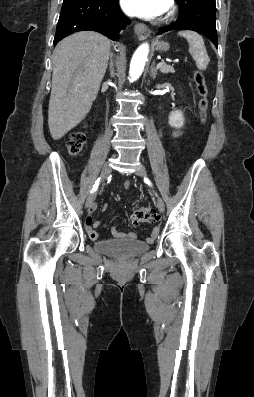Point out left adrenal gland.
Listing matches in <instances>:
<instances>
[{
    "label": "left adrenal gland",
    "mask_w": 254,
    "mask_h": 397,
    "mask_svg": "<svg viewBox=\"0 0 254 397\" xmlns=\"http://www.w3.org/2000/svg\"><path fill=\"white\" fill-rule=\"evenodd\" d=\"M156 75H157V69L155 68V62H153L151 67H150V77L155 79Z\"/></svg>",
    "instance_id": "left-adrenal-gland-1"
}]
</instances>
